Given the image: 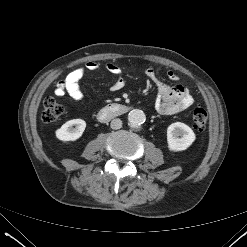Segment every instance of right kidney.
I'll use <instances>...</instances> for the list:
<instances>
[{
	"label": "right kidney",
	"instance_id": "right-kidney-1",
	"mask_svg": "<svg viewBox=\"0 0 247 247\" xmlns=\"http://www.w3.org/2000/svg\"><path fill=\"white\" fill-rule=\"evenodd\" d=\"M86 128V122L82 119L67 121L55 131L56 137L61 141H76L79 139Z\"/></svg>",
	"mask_w": 247,
	"mask_h": 247
}]
</instances>
